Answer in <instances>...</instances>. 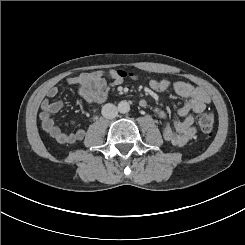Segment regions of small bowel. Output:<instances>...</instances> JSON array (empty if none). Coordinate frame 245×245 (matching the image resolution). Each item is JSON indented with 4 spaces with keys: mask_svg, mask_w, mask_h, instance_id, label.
Segmentation results:
<instances>
[{
    "mask_svg": "<svg viewBox=\"0 0 245 245\" xmlns=\"http://www.w3.org/2000/svg\"><path fill=\"white\" fill-rule=\"evenodd\" d=\"M106 77L110 78L108 83ZM123 77L117 74L116 70H97L89 73H82L72 77L68 83L77 88L79 94L86 102H103L112 87L123 83ZM149 87L153 91L164 92L172 89L177 95L186 99L185 103L178 109V118L173 122L167 119L166 113L156 108L155 112L163 120V138L173 146L182 147L187 144L196 134L194 125L195 115L202 112L210 102L208 93L200 88L184 81H170L168 79H152ZM59 92L58 87H51L47 90L44 100L41 103L39 118L43 130L54 140L62 144H72L84 137L83 129H75L71 132H64L52 118V114L62 110V101H52ZM140 106L146 107L147 101L142 99Z\"/></svg>",
    "mask_w": 245,
    "mask_h": 245,
    "instance_id": "c3829d8e",
    "label": "small bowel"
}]
</instances>
